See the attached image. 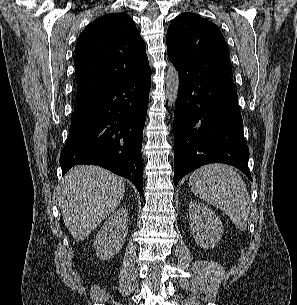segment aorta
Here are the masks:
<instances>
[{
  "mask_svg": "<svg viewBox=\"0 0 297 305\" xmlns=\"http://www.w3.org/2000/svg\"><path fill=\"white\" fill-rule=\"evenodd\" d=\"M175 67L170 66L166 73V96L169 105H174L179 92L180 78Z\"/></svg>",
  "mask_w": 297,
  "mask_h": 305,
  "instance_id": "obj_1",
  "label": "aorta"
}]
</instances>
